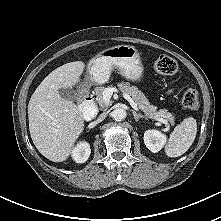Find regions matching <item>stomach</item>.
I'll list each match as a JSON object with an SVG mask.
<instances>
[{
  "label": "stomach",
  "instance_id": "0dacf381",
  "mask_svg": "<svg viewBox=\"0 0 221 221\" xmlns=\"http://www.w3.org/2000/svg\"><path fill=\"white\" fill-rule=\"evenodd\" d=\"M118 69L123 77L140 81L143 77V65L134 46L118 45L97 53L87 65V78L93 84H104L113 69Z\"/></svg>",
  "mask_w": 221,
  "mask_h": 221
}]
</instances>
